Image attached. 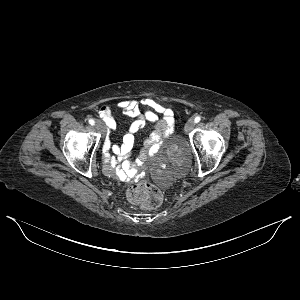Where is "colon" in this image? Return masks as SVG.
<instances>
[{"label":"colon","mask_w":300,"mask_h":300,"mask_svg":"<svg viewBox=\"0 0 300 300\" xmlns=\"http://www.w3.org/2000/svg\"><path fill=\"white\" fill-rule=\"evenodd\" d=\"M127 197L130 202L140 204L143 208L152 210L160 207L163 198L161 192L154 186L141 182L129 188Z\"/></svg>","instance_id":"colon-1"}]
</instances>
